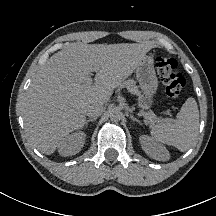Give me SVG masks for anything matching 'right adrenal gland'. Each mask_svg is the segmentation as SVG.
Listing matches in <instances>:
<instances>
[{
  "label": "right adrenal gland",
  "instance_id": "right-adrenal-gland-1",
  "mask_svg": "<svg viewBox=\"0 0 216 216\" xmlns=\"http://www.w3.org/2000/svg\"><path fill=\"white\" fill-rule=\"evenodd\" d=\"M96 119H97V117L90 118V119L86 120V122H85V126H87L89 122L96 121Z\"/></svg>",
  "mask_w": 216,
  "mask_h": 216
}]
</instances>
